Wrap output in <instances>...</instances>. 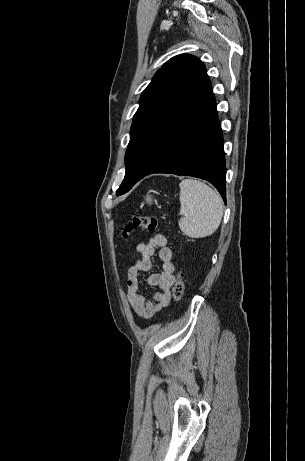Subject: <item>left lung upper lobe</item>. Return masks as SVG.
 <instances>
[{"label": "left lung upper lobe", "mask_w": 305, "mask_h": 461, "mask_svg": "<svg viewBox=\"0 0 305 461\" xmlns=\"http://www.w3.org/2000/svg\"><path fill=\"white\" fill-rule=\"evenodd\" d=\"M205 75L204 64L189 54L171 58L156 72L143 91L140 106L133 117L125 154L126 173L116 195L128 192L147 172L156 134Z\"/></svg>", "instance_id": "1"}]
</instances>
